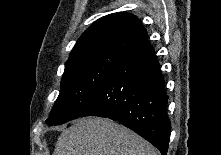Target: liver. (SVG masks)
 <instances>
[{
  "mask_svg": "<svg viewBox=\"0 0 221 155\" xmlns=\"http://www.w3.org/2000/svg\"><path fill=\"white\" fill-rule=\"evenodd\" d=\"M54 155H159L132 130L107 118L78 119L63 130Z\"/></svg>",
  "mask_w": 221,
  "mask_h": 155,
  "instance_id": "6515ba94",
  "label": "liver"
}]
</instances>
